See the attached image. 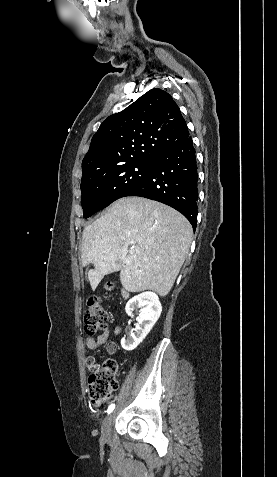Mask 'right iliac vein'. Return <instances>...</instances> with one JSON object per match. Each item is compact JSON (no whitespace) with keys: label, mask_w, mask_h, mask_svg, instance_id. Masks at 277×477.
<instances>
[{"label":"right iliac vein","mask_w":277,"mask_h":477,"mask_svg":"<svg viewBox=\"0 0 277 477\" xmlns=\"http://www.w3.org/2000/svg\"><path fill=\"white\" fill-rule=\"evenodd\" d=\"M112 420L113 414H109L102 423L101 433L102 439L105 441L110 440Z\"/></svg>","instance_id":"63e3f726"}]
</instances>
